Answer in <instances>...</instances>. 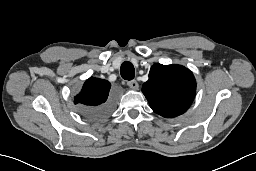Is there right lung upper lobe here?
Here are the masks:
<instances>
[{"mask_svg":"<svg viewBox=\"0 0 256 171\" xmlns=\"http://www.w3.org/2000/svg\"><path fill=\"white\" fill-rule=\"evenodd\" d=\"M111 84L107 80L91 77L85 81L74 103L80 104L82 112L106 103L110 99Z\"/></svg>","mask_w":256,"mask_h":171,"instance_id":"cb5924a9","label":"right lung upper lobe"}]
</instances>
